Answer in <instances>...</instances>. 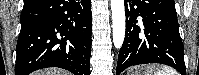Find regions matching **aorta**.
Listing matches in <instances>:
<instances>
[{"mask_svg":"<svg viewBox=\"0 0 199 75\" xmlns=\"http://www.w3.org/2000/svg\"><path fill=\"white\" fill-rule=\"evenodd\" d=\"M113 44L121 48L125 37V8L124 0H111Z\"/></svg>","mask_w":199,"mask_h":75,"instance_id":"obj_1","label":"aorta"}]
</instances>
